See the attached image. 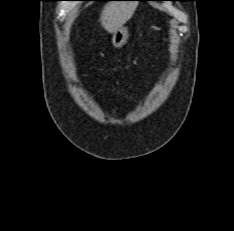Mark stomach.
<instances>
[{
  "label": "stomach",
  "instance_id": "0dacf381",
  "mask_svg": "<svg viewBox=\"0 0 234 231\" xmlns=\"http://www.w3.org/2000/svg\"><path fill=\"white\" fill-rule=\"evenodd\" d=\"M128 37V29L126 27L119 28L113 35V46L116 48H121L127 42Z\"/></svg>",
  "mask_w": 234,
  "mask_h": 231
}]
</instances>
